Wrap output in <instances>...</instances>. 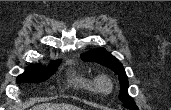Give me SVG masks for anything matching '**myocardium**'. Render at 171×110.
<instances>
[{"mask_svg":"<svg viewBox=\"0 0 171 110\" xmlns=\"http://www.w3.org/2000/svg\"><path fill=\"white\" fill-rule=\"evenodd\" d=\"M96 90L102 94H109L113 89L111 80L106 76H101L96 81Z\"/></svg>","mask_w":171,"mask_h":110,"instance_id":"f54148a6","label":"myocardium"}]
</instances>
